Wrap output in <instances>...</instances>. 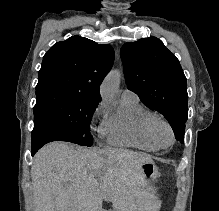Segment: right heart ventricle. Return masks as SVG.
<instances>
[{"instance_id":"1","label":"right heart ventricle","mask_w":219,"mask_h":211,"mask_svg":"<svg viewBox=\"0 0 219 211\" xmlns=\"http://www.w3.org/2000/svg\"><path fill=\"white\" fill-rule=\"evenodd\" d=\"M154 117L158 115L143 106L139 99H121L117 109L106 118L108 141L118 146L158 150L160 146L148 129L149 121Z\"/></svg>"}]
</instances>
